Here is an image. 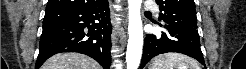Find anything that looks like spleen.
Listing matches in <instances>:
<instances>
[{"mask_svg":"<svg viewBox=\"0 0 246 69\" xmlns=\"http://www.w3.org/2000/svg\"><path fill=\"white\" fill-rule=\"evenodd\" d=\"M153 69H200L197 62L179 53H166L155 59Z\"/></svg>","mask_w":246,"mask_h":69,"instance_id":"spleen-1","label":"spleen"}]
</instances>
